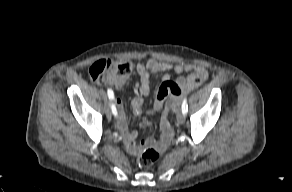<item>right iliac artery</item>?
I'll list each match as a JSON object with an SVG mask.
<instances>
[{
	"label": "right iliac artery",
	"instance_id": "right-iliac-artery-1",
	"mask_svg": "<svg viewBox=\"0 0 292 192\" xmlns=\"http://www.w3.org/2000/svg\"><path fill=\"white\" fill-rule=\"evenodd\" d=\"M107 94H108V98H109V100H110L111 102H113V101H114V93H113V91H112L111 89H108V90H107ZM111 110H112V113H113L114 115H117V110H116V107H115L114 104H111Z\"/></svg>",
	"mask_w": 292,
	"mask_h": 192
}]
</instances>
